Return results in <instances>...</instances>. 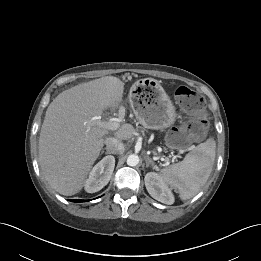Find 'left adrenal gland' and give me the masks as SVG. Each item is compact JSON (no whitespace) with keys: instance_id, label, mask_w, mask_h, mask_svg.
<instances>
[{"instance_id":"a2214340","label":"left adrenal gland","mask_w":261,"mask_h":261,"mask_svg":"<svg viewBox=\"0 0 261 261\" xmlns=\"http://www.w3.org/2000/svg\"><path fill=\"white\" fill-rule=\"evenodd\" d=\"M145 161H146V167H149L151 165L153 169L157 168L154 162L152 161V159L149 158L148 156L146 157Z\"/></svg>"}]
</instances>
